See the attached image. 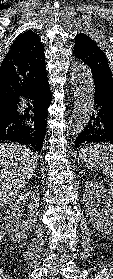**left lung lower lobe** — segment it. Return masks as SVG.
I'll list each match as a JSON object with an SVG mask.
<instances>
[{
	"label": "left lung lower lobe",
	"mask_w": 113,
	"mask_h": 279,
	"mask_svg": "<svg viewBox=\"0 0 113 279\" xmlns=\"http://www.w3.org/2000/svg\"><path fill=\"white\" fill-rule=\"evenodd\" d=\"M95 106L85 128L78 134L75 147L90 143L113 144V80L92 71Z\"/></svg>",
	"instance_id": "0a47b994"
}]
</instances>
